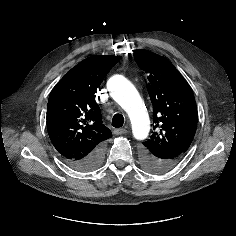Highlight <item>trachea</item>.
<instances>
[{
	"label": "trachea",
	"mask_w": 236,
	"mask_h": 236,
	"mask_svg": "<svg viewBox=\"0 0 236 236\" xmlns=\"http://www.w3.org/2000/svg\"><path fill=\"white\" fill-rule=\"evenodd\" d=\"M124 123V117L121 114H115L112 118V126L115 128H120L123 126Z\"/></svg>",
	"instance_id": "trachea-1"
}]
</instances>
